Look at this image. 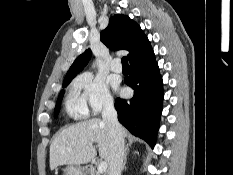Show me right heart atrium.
Returning <instances> with one entry per match:
<instances>
[{
  "mask_svg": "<svg viewBox=\"0 0 233 175\" xmlns=\"http://www.w3.org/2000/svg\"><path fill=\"white\" fill-rule=\"evenodd\" d=\"M72 87L94 115L108 110L114 105V99L107 84L91 74L86 73L78 76Z\"/></svg>",
  "mask_w": 233,
  "mask_h": 175,
  "instance_id": "1",
  "label": "right heart atrium"
}]
</instances>
